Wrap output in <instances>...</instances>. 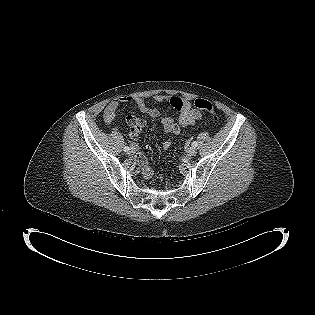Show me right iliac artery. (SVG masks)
I'll return each mask as SVG.
<instances>
[{"label": "right iliac artery", "instance_id": "1", "mask_svg": "<svg viewBox=\"0 0 315 315\" xmlns=\"http://www.w3.org/2000/svg\"><path fill=\"white\" fill-rule=\"evenodd\" d=\"M129 150H130V149H129L128 146H125V147H124V151H125V152H128Z\"/></svg>", "mask_w": 315, "mask_h": 315}]
</instances>
